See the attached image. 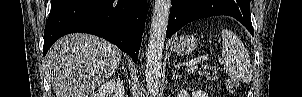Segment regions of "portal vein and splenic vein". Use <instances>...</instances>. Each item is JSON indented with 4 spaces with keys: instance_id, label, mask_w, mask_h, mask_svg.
Instances as JSON below:
<instances>
[{
    "instance_id": "1",
    "label": "portal vein and splenic vein",
    "mask_w": 302,
    "mask_h": 97,
    "mask_svg": "<svg viewBox=\"0 0 302 97\" xmlns=\"http://www.w3.org/2000/svg\"><path fill=\"white\" fill-rule=\"evenodd\" d=\"M209 60V57L208 56H199V57H196L194 59H192L191 61H189L186 66L187 67H191L197 63H199L200 61H208Z\"/></svg>"
}]
</instances>
